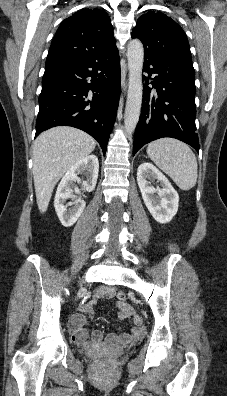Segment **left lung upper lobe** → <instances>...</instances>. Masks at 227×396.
<instances>
[{"label": "left lung upper lobe", "mask_w": 227, "mask_h": 396, "mask_svg": "<svg viewBox=\"0 0 227 396\" xmlns=\"http://www.w3.org/2000/svg\"><path fill=\"white\" fill-rule=\"evenodd\" d=\"M144 45L145 54L176 59L192 65L188 39L180 25L160 12L142 15L132 32Z\"/></svg>", "instance_id": "obj_1"}]
</instances>
